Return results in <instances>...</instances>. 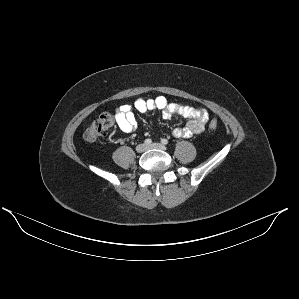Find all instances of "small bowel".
I'll return each mask as SVG.
<instances>
[{
	"label": "small bowel",
	"mask_w": 299,
	"mask_h": 299,
	"mask_svg": "<svg viewBox=\"0 0 299 299\" xmlns=\"http://www.w3.org/2000/svg\"><path fill=\"white\" fill-rule=\"evenodd\" d=\"M154 109L162 111L164 118L178 115L188 119L185 126L176 127L173 130V135L178 138H189L201 133L209 120V115L204 109L170 103L164 96L149 99L139 98L133 104H123L118 108L115 120L122 131L131 132L137 126L134 111L145 113Z\"/></svg>",
	"instance_id": "1"
}]
</instances>
